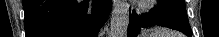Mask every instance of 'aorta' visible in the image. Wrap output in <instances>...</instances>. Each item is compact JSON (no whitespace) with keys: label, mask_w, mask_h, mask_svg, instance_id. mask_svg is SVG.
I'll use <instances>...</instances> for the list:
<instances>
[{"label":"aorta","mask_w":219,"mask_h":37,"mask_svg":"<svg viewBox=\"0 0 219 37\" xmlns=\"http://www.w3.org/2000/svg\"><path fill=\"white\" fill-rule=\"evenodd\" d=\"M129 25V11L124 2L116 3L110 21V37H125Z\"/></svg>","instance_id":"aorta-1"}]
</instances>
